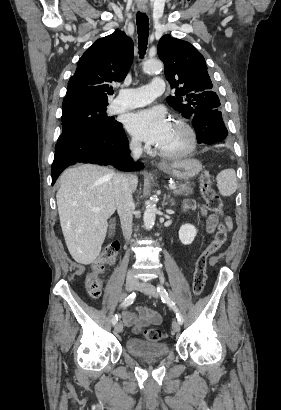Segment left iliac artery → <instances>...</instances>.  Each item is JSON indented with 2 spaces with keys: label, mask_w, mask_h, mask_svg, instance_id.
Wrapping results in <instances>:
<instances>
[{
  "label": "left iliac artery",
  "mask_w": 281,
  "mask_h": 410,
  "mask_svg": "<svg viewBox=\"0 0 281 410\" xmlns=\"http://www.w3.org/2000/svg\"><path fill=\"white\" fill-rule=\"evenodd\" d=\"M157 291L160 294L161 300L168 304L176 313V318L180 324L183 323V317L179 312L177 306L175 305L174 301L172 300L170 294L166 291V289L162 285L157 286Z\"/></svg>",
  "instance_id": "1"
}]
</instances>
